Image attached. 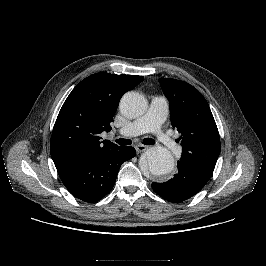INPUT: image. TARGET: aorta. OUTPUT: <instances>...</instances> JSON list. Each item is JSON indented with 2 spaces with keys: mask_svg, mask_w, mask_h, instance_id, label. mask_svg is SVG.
Wrapping results in <instances>:
<instances>
[{
  "mask_svg": "<svg viewBox=\"0 0 266 266\" xmlns=\"http://www.w3.org/2000/svg\"><path fill=\"white\" fill-rule=\"evenodd\" d=\"M119 108L124 116L136 118L146 111L147 102L143 95L128 92L122 97ZM174 166L172 154L161 146L149 148L140 160L141 169L154 176H163L171 172Z\"/></svg>",
  "mask_w": 266,
  "mask_h": 266,
  "instance_id": "762f6f07",
  "label": "aorta"
}]
</instances>
